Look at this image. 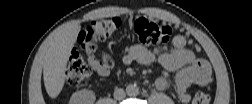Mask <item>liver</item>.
<instances>
[{
	"label": "liver",
	"instance_id": "obj_1",
	"mask_svg": "<svg viewBox=\"0 0 252 104\" xmlns=\"http://www.w3.org/2000/svg\"><path fill=\"white\" fill-rule=\"evenodd\" d=\"M80 29L81 26L75 23L58 30L45 52L43 79L51 98H56L64 86L67 62Z\"/></svg>",
	"mask_w": 252,
	"mask_h": 104
}]
</instances>
